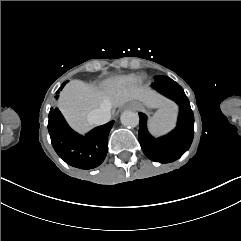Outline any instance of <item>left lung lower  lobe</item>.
I'll use <instances>...</instances> for the list:
<instances>
[{
  "label": "left lung lower lobe",
  "instance_id": "0a47b994",
  "mask_svg": "<svg viewBox=\"0 0 241 241\" xmlns=\"http://www.w3.org/2000/svg\"><path fill=\"white\" fill-rule=\"evenodd\" d=\"M152 87L179 105L178 123L170 134L155 139L147 131L146 115L140 113L139 142L150 160L169 163L180 158L190 147L194 135V116L183 88L171 78L157 76Z\"/></svg>",
  "mask_w": 241,
  "mask_h": 241
}]
</instances>
